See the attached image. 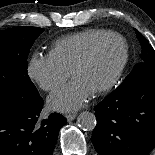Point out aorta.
I'll use <instances>...</instances> for the list:
<instances>
[{"instance_id":"1","label":"aorta","mask_w":155,"mask_h":155,"mask_svg":"<svg viewBox=\"0 0 155 155\" xmlns=\"http://www.w3.org/2000/svg\"><path fill=\"white\" fill-rule=\"evenodd\" d=\"M78 126L85 131H92L97 124L96 117L89 111H84L77 117Z\"/></svg>"}]
</instances>
